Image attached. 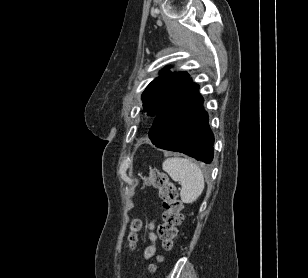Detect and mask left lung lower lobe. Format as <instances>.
Masks as SVG:
<instances>
[{
	"label": "left lung lower lobe",
	"instance_id": "obj_1",
	"mask_svg": "<svg viewBox=\"0 0 308 278\" xmlns=\"http://www.w3.org/2000/svg\"><path fill=\"white\" fill-rule=\"evenodd\" d=\"M198 89L199 86L188 79L156 115L149 138L156 147L211 163L214 135Z\"/></svg>",
	"mask_w": 308,
	"mask_h": 278
}]
</instances>
